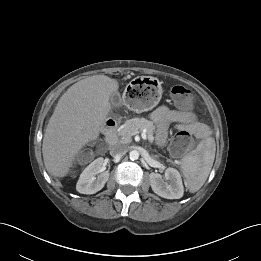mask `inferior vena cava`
<instances>
[{"instance_id": "inferior-vena-cava-1", "label": "inferior vena cava", "mask_w": 261, "mask_h": 261, "mask_svg": "<svg viewBox=\"0 0 261 261\" xmlns=\"http://www.w3.org/2000/svg\"><path fill=\"white\" fill-rule=\"evenodd\" d=\"M127 151H128V149H127L126 146H124V145H115V146L111 147L110 154L113 157L121 158L123 155L126 154Z\"/></svg>"}]
</instances>
